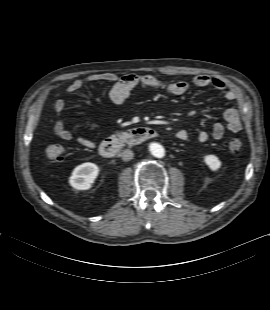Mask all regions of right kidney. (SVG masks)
<instances>
[{"label": "right kidney", "mask_w": 270, "mask_h": 310, "mask_svg": "<svg viewBox=\"0 0 270 310\" xmlns=\"http://www.w3.org/2000/svg\"><path fill=\"white\" fill-rule=\"evenodd\" d=\"M98 174L99 168L96 164L90 162L83 163L73 170L69 183L77 190H88L92 187Z\"/></svg>", "instance_id": "1"}]
</instances>
